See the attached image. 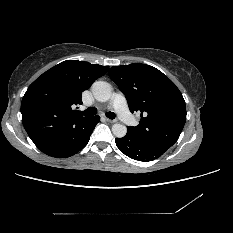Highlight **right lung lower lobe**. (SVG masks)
<instances>
[{"mask_svg":"<svg viewBox=\"0 0 233 233\" xmlns=\"http://www.w3.org/2000/svg\"><path fill=\"white\" fill-rule=\"evenodd\" d=\"M99 120H100L99 116L90 117V119L85 123L83 128H81L75 134L72 140L67 142L64 146H62L58 150L52 151L47 155L56 158H65L76 154L78 151H80L82 148L86 146V144L90 139V135L92 134Z\"/></svg>","mask_w":233,"mask_h":233,"instance_id":"98d812e1","label":"right lung lower lobe"}]
</instances>
